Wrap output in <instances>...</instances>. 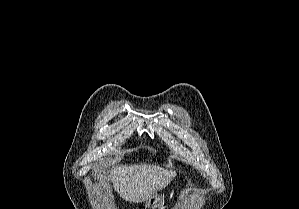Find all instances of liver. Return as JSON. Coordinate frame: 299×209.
I'll list each match as a JSON object with an SVG mask.
<instances>
[{
	"label": "liver",
	"mask_w": 299,
	"mask_h": 209,
	"mask_svg": "<svg viewBox=\"0 0 299 209\" xmlns=\"http://www.w3.org/2000/svg\"><path fill=\"white\" fill-rule=\"evenodd\" d=\"M175 172L156 165H121L113 175L115 190L126 201H146L158 190L168 185Z\"/></svg>",
	"instance_id": "6515ba94"
}]
</instances>
